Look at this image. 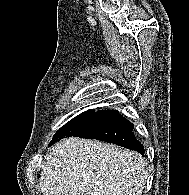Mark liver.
I'll return each mask as SVG.
<instances>
[{
    "label": "liver",
    "mask_w": 189,
    "mask_h": 195,
    "mask_svg": "<svg viewBox=\"0 0 189 195\" xmlns=\"http://www.w3.org/2000/svg\"><path fill=\"white\" fill-rule=\"evenodd\" d=\"M145 164L137 152L71 137L46 156L39 188L44 195H141Z\"/></svg>",
    "instance_id": "obj_1"
}]
</instances>
